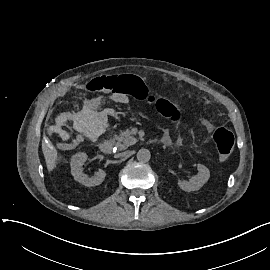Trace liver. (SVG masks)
<instances>
[{"label": "liver", "mask_w": 270, "mask_h": 270, "mask_svg": "<svg viewBox=\"0 0 270 270\" xmlns=\"http://www.w3.org/2000/svg\"><path fill=\"white\" fill-rule=\"evenodd\" d=\"M42 152L45 158V163L47 171L52 173L56 168V163L58 161V151L57 149L49 144L42 143Z\"/></svg>", "instance_id": "obj_1"}]
</instances>
